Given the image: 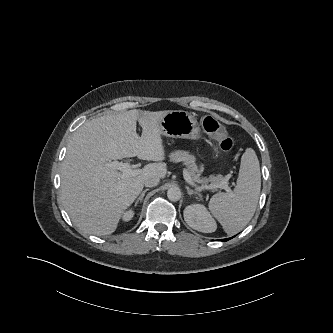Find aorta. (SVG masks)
Returning <instances> with one entry per match:
<instances>
[{
  "instance_id": "obj_1",
  "label": "aorta",
  "mask_w": 333,
  "mask_h": 333,
  "mask_svg": "<svg viewBox=\"0 0 333 333\" xmlns=\"http://www.w3.org/2000/svg\"><path fill=\"white\" fill-rule=\"evenodd\" d=\"M167 197L170 201H178L181 198V191L178 187H171L167 191Z\"/></svg>"
}]
</instances>
